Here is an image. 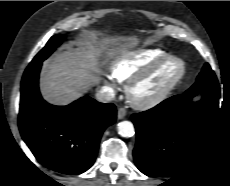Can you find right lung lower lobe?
<instances>
[{
    "label": "right lung lower lobe",
    "mask_w": 230,
    "mask_h": 186,
    "mask_svg": "<svg viewBox=\"0 0 230 186\" xmlns=\"http://www.w3.org/2000/svg\"><path fill=\"white\" fill-rule=\"evenodd\" d=\"M42 63L29 65L21 82V136L45 167L80 174L94 163L103 131L116 120L113 104L82 97L67 106L45 102L39 92Z\"/></svg>",
    "instance_id": "98d812e1"
}]
</instances>
